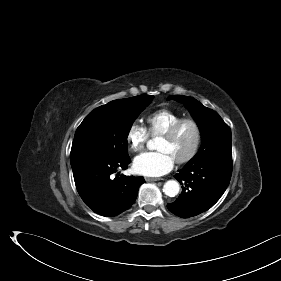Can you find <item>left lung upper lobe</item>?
<instances>
[{"mask_svg": "<svg viewBox=\"0 0 281 281\" xmlns=\"http://www.w3.org/2000/svg\"><path fill=\"white\" fill-rule=\"evenodd\" d=\"M183 102L197 122L202 136L198 154L188 163L205 158H232V136L229 126L213 110L203 106L193 97L175 95L169 100Z\"/></svg>", "mask_w": 281, "mask_h": 281, "instance_id": "1", "label": "left lung upper lobe"}]
</instances>
